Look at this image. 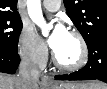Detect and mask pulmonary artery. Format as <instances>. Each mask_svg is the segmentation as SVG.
I'll return each mask as SVG.
<instances>
[{
  "label": "pulmonary artery",
  "instance_id": "pulmonary-artery-1",
  "mask_svg": "<svg viewBox=\"0 0 107 89\" xmlns=\"http://www.w3.org/2000/svg\"><path fill=\"white\" fill-rule=\"evenodd\" d=\"M43 6L51 12H55L60 8L61 1L60 0H43Z\"/></svg>",
  "mask_w": 107,
  "mask_h": 89
}]
</instances>
